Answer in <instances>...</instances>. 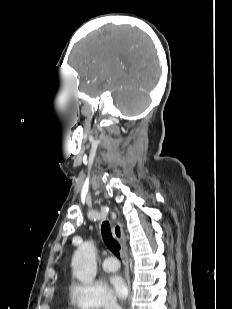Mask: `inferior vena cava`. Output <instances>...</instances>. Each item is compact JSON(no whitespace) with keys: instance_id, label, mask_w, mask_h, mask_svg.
<instances>
[{"instance_id":"602c4592","label":"inferior vena cava","mask_w":232,"mask_h":309,"mask_svg":"<svg viewBox=\"0 0 232 309\" xmlns=\"http://www.w3.org/2000/svg\"><path fill=\"white\" fill-rule=\"evenodd\" d=\"M104 309H122L118 306V304L114 300H109L106 304Z\"/></svg>"}]
</instances>
